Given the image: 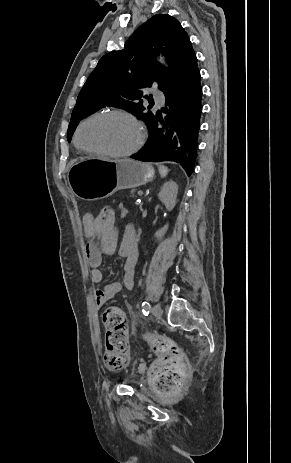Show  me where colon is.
<instances>
[{
  "instance_id": "obj_1",
  "label": "colon",
  "mask_w": 291,
  "mask_h": 463,
  "mask_svg": "<svg viewBox=\"0 0 291 463\" xmlns=\"http://www.w3.org/2000/svg\"><path fill=\"white\" fill-rule=\"evenodd\" d=\"M116 220H118V209L112 206H102L96 211V222L100 231L107 230V226H115ZM103 325L105 366L109 370H121L129 361L126 317L119 308H108L103 314ZM151 342L156 352L166 355V358L154 367L157 376L156 385L161 391L171 390L186 379L187 366L183 357L177 354L178 346L173 340L154 336Z\"/></svg>"
}]
</instances>
